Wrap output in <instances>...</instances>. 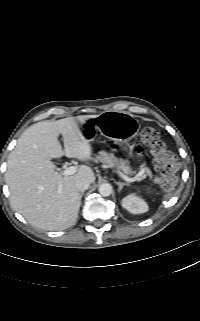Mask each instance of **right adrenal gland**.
<instances>
[{"label": "right adrenal gland", "instance_id": "obj_1", "mask_svg": "<svg viewBox=\"0 0 200 321\" xmlns=\"http://www.w3.org/2000/svg\"><path fill=\"white\" fill-rule=\"evenodd\" d=\"M84 195V192H81L80 194H79V198H80V203H81V199H82V196Z\"/></svg>", "mask_w": 200, "mask_h": 321}]
</instances>
